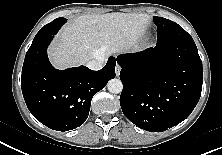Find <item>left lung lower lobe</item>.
Wrapping results in <instances>:
<instances>
[{"mask_svg":"<svg viewBox=\"0 0 222 155\" xmlns=\"http://www.w3.org/2000/svg\"><path fill=\"white\" fill-rule=\"evenodd\" d=\"M124 115L138 127L161 132L185 120L197 105L202 61L193 40L158 41L156 47L117 58Z\"/></svg>","mask_w":222,"mask_h":155,"instance_id":"obj_1","label":"left lung lower lobe"}]
</instances>
